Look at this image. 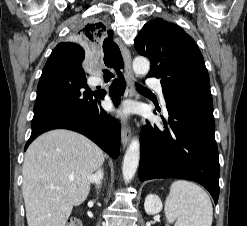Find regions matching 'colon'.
<instances>
[{
  "label": "colon",
  "instance_id": "1",
  "mask_svg": "<svg viewBox=\"0 0 247 226\" xmlns=\"http://www.w3.org/2000/svg\"><path fill=\"white\" fill-rule=\"evenodd\" d=\"M66 226H82V225L78 219L71 218L67 221Z\"/></svg>",
  "mask_w": 247,
  "mask_h": 226
}]
</instances>
